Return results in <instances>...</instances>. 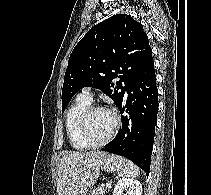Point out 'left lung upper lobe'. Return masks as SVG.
Masks as SVG:
<instances>
[{"label": "left lung upper lobe", "mask_w": 211, "mask_h": 195, "mask_svg": "<svg viewBox=\"0 0 211 195\" xmlns=\"http://www.w3.org/2000/svg\"><path fill=\"white\" fill-rule=\"evenodd\" d=\"M151 59L148 36L131 16L117 14L95 25L70 55L62 112L76 92L87 86L100 89L119 107L131 82ZM116 77L118 82L113 81Z\"/></svg>", "instance_id": "1"}]
</instances>
